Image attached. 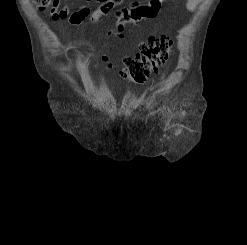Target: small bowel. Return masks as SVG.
Masks as SVG:
<instances>
[{
    "instance_id": "1",
    "label": "small bowel",
    "mask_w": 247,
    "mask_h": 245,
    "mask_svg": "<svg viewBox=\"0 0 247 245\" xmlns=\"http://www.w3.org/2000/svg\"><path fill=\"white\" fill-rule=\"evenodd\" d=\"M165 0H150L147 4L134 3L130 8H123L119 11L115 32L122 37L124 25L128 22H135L140 19L154 18L159 13L160 7ZM201 0H187L186 7L189 11H195ZM52 17L54 20L68 19L71 24H81L91 13V9L83 6L77 11L70 13L66 4L62 0H52ZM85 57V56H84Z\"/></svg>"
}]
</instances>
